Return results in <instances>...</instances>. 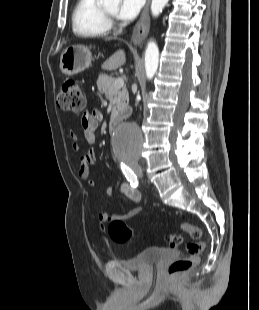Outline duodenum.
<instances>
[{
  "label": "duodenum",
  "instance_id": "410a0bca",
  "mask_svg": "<svg viewBox=\"0 0 259 310\" xmlns=\"http://www.w3.org/2000/svg\"><path fill=\"white\" fill-rule=\"evenodd\" d=\"M116 126H117V118L114 117L111 119L110 124H109V128H110L111 133H113L115 131Z\"/></svg>",
  "mask_w": 259,
  "mask_h": 310
}]
</instances>
